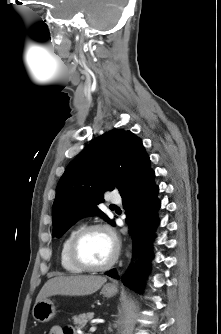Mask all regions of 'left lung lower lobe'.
Wrapping results in <instances>:
<instances>
[{
  "mask_svg": "<svg viewBox=\"0 0 221 334\" xmlns=\"http://www.w3.org/2000/svg\"><path fill=\"white\" fill-rule=\"evenodd\" d=\"M154 177L155 173L148 163L121 193L130 234L134 246H137L140 252V264L134 280L138 288H140L149 268L151 243L155 238V228L159 224L156 216V212L160 208V201L157 199L159 188L154 183ZM106 274L112 278H118L115 269ZM133 279L134 277L127 272L122 281L125 285H129L133 283Z\"/></svg>",
  "mask_w": 221,
  "mask_h": 334,
  "instance_id": "0a47b994",
  "label": "left lung lower lobe"
}]
</instances>
